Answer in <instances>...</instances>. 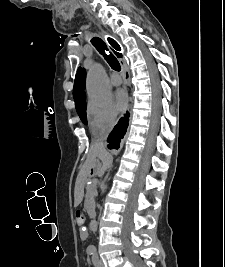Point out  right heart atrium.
Listing matches in <instances>:
<instances>
[{
    "instance_id": "obj_1",
    "label": "right heart atrium",
    "mask_w": 225,
    "mask_h": 267,
    "mask_svg": "<svg viewBox=\"0 0 225 267\" xmlns=\"http://www.w3.org/2000/svg\"><path fill=\"white\" fill-rule=\"evenodd\" d=\"M87 117L94 134L110 131L117 121L116 110L110 102L90 100L87 105Z\"/></svg>"
}]
</instances>
